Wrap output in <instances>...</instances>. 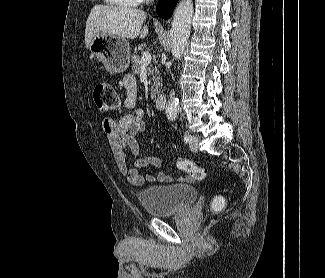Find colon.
<instances>
[{
	"mask_svg": "<svg viewBox=\"0 0 325 278\" xmlns=\"http://www.w3.org/2000/svg\"><path fill=\"white\" fill-rule=\"evenodd\" d=\"M93 100L96 107L103 113H114L121 110L122 101L113 87L109 82H99L96 84L93 91ZM176 166L179 170L187 174L188 179L191 180H203L207 176V169L194 163L182 159H176ZM225 200L222 196H216L212 203L211 208L214 211L220 210L224 206Z\"/></svg>",
	"mask_w": 325,
	"mask_h": 278,
	"instance_id": "colon-1",
	"label": "colon"
}]
</instances>
